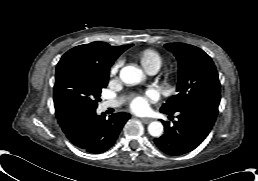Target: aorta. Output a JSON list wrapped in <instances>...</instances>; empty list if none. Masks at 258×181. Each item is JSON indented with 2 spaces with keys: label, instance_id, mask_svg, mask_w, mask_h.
<instances>
[{
  "label": "aorta",
  "instance_id": "1",
  "mask_svg": "<svg viewBox=\"0 0 258 181\" xmlns=\"http://www.w3.org/2000/svg\"><path fill=\"white\" fill-rule=\"evenodd\" d=\"M144 75L141 69L135 66H125L120 70L121 80L129 85H135L142 81ZM163 125L159 121L151 122L148 125V132L151 136L160 137L163 134Z\"/></svg>",
  "mask_w": 258,
  "mask_h": 181
}]
</instances>
